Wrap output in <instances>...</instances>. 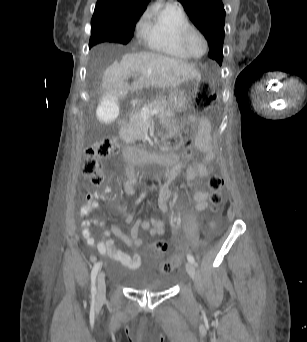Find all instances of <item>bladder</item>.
Returning a JSON list of instances; mask_svg holds the SVG:
<instances>
[{
    "label": "bladder",
    "mask_w": 307,
    "mask_h": 342,
    "mask_svg": "<svg viewBox=\"0 0 307 342\" xmlns=\"http://www.w3.org/2000/svg\"><path fill=\"white\" fill-rule=\"evenodd\" d=\"M127 281L133 289L149 292L166 291L173 285V281L168 276L160 275L140 266L133 269Z\"/></svg>",
    "instance_id": "bladder-1"
}]
</instances>
